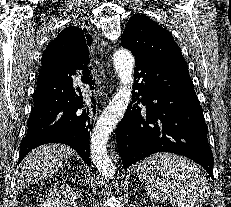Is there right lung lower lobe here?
<instances>
[{
	"mask_svg": "<svg viewBox=\"0 0 231 207\" xmlns=\"http://www.w3.org/2000/svg\"><path fill=\"white\" fill-rule=\"evenodd\" d=\"M75 31L80 28L74 27ZM89 61L80 65L82 81L95 89L90 76ZM75 70L60 65H42L37 88L33 95L34 107L27 121L28 131L20 145L19 162L34 148L47 143H62L75 149L90 166L89 137L96 113L95 98L83 96L79 87L73 88ZM93 94V91L91 92Z\"/></svg>",
	"mask_w": 231,
	"mask_h": 207,
	"instance_id": "right-lung-lower-lobe-1",
	"label": "right lung lower lobe"
}]
</instances>
